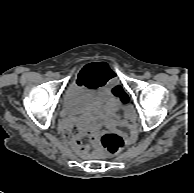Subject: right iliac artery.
<instances>
[{"mask_svg": "<svg viewBox=\"0 0 194 193\" xmlns=\"http://www.w3.org/2000/svg\"><path fill=\"white\" fill-rule=\"evenodd\" d=\"M46 75L51 77V76H53V73L51 71H48Z\"/></svg>", "mask_w": 194, "mask_h": 193, "instance_id": "82829eb1", "label": "right iliac artery"}]
</instances>
